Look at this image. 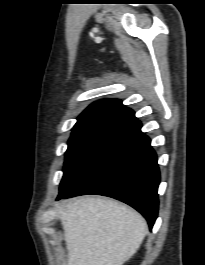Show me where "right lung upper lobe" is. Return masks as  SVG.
<instances>
[{
  "instance_id": "right-lung-upper-lobe-1",
  "label": "right lung upper lobe",
  "mask_w": 205,
  "mask_h": 265,
  "mask_svg": "<svg viewBox=\"0 0 205 265\" xmlns=\"http://www.w3.org/2000/svg\"><path fill=\"white\" fill-rule=\"evenodd\" d=\"M136 120L134 111L125 107L121 100L105 99L94 102L86 108L77 118L72 131L102 125L128 127Z\"/></svg>"
}]
</instances>
